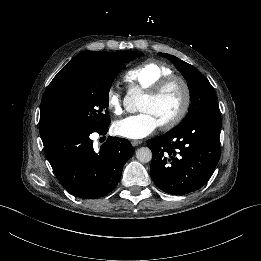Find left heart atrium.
<instances>
[{
	"label": "left heart atrium",
	"mask_w": 261,
	"mask_h": 261,
	"mask_svg": "<svg viewBox=\"0 0 261 261\" xmlns=\"http://www.w3.org/2000/svg\"><path fill=\"white\" fill-rule=\"evenodd\" d=\"M160 123L148 111L119 120L113 125V132L123 138L138 140L153 133Z\"/></svg>",
	"instance_id": "1"
}]
</instances>
